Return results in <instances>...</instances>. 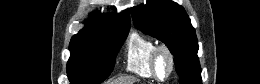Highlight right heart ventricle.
I'll use <instances>...</instances> for the list:
<instances>
[{"label":"right heart ventricle","instance_id":"right-heart-ventricle-1","mask_svg":"<svg viewBox=\"0 0 260 84\" xmlns=\"http://www.w3.org/2000/svg\"><path fill=\"white\" fill-rule=\"evenodd\" d=\"M156 46L150 37L133 32L126 48V69L142 78H154L151 57Z\"/></svg>","mask_w":260,"mask_h":84}]
</instances>
